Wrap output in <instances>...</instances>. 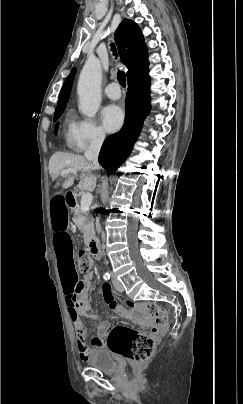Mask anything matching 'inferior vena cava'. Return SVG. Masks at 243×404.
<instances>
[{
    "label": "inferior vena cava",
    "instance_id": "obj_1",
    "mask_svg": "<svg viewBox=\"0 0 243 404\" xmlns=\"http://www.w3.org/2000/svg\"><path fill=\"white\" fill-rule=\"evenodd\" d=\"M104 138H105L104 134H97L96 138H93V140H91L88 150H86V152H84V156H85L86 160H89V162H92L94 170H98V168H100V166L98 164V156H99L100 148L104 142ZM102 254H103V256H105L103 246H102ZM105 262H106V260H105Z\"/></svg>",
    "mask_w": 243,
    "mask_h": 404
}]
</instances>
